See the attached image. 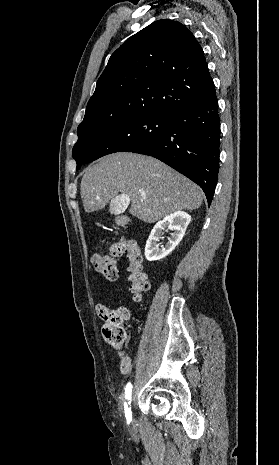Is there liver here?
Segmentation results:
<instances>
[{
  "label": "liver",
  "instance_id": "6515ba94",
  "mask_svg": "<svg viewBox=\"0 0 279 465\" xmlns=\"http://www.w3.org/2000/svg\"><path fill=\"white\" fill-rule=\"evenodd\" d=\"M119 192L129 197L130 214L145 223L176 211L195 210L203 200L198 185L150 156L115 153L85 169L80 187L85 212L103 209Z\"/></svg>",
  "mask_w": 279,
  "mask_h": 465
}]
</instances>
